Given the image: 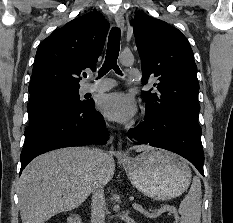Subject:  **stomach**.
<instances>
[{
    "instance_id": "0dacf381",
    "label": "stomach",
    "mask_w": 233,
    "mask_h": 223,
    "mask_svg": "<svg viewBox=\"0 0 233 223\" xmlns=\"http://www.w3.org/2000/svg\"><path fill=\"white\" fill-rule=\"evenodd\" d=\"M122 161L132 185L151 199L178 197L190 185L192 175L186 159L166 149L152 147Z\"/></svg>"
}]
</instances>
